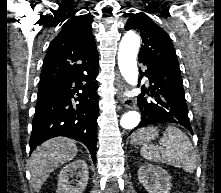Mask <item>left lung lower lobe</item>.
Wrapping results in <instances>:
<instances>
[{"label": "left lung lower lobe", "mask_w": 221, "mask_h": 193, "mask_svg": "<svg viewBox=\"0 0 221 193\" xmlns=\"http://www.w3.org/2000/svg\"><path fill=\"white\" fill-rule=\"evenodd\" d=\"M138 59L139 63L147 66L142 76H148L150 86L137 97L142 119L134 130L150 124L171 122L184 126L192 133L180 71Z\"/></svg>", "instance_id": "1"}]
</instances>
